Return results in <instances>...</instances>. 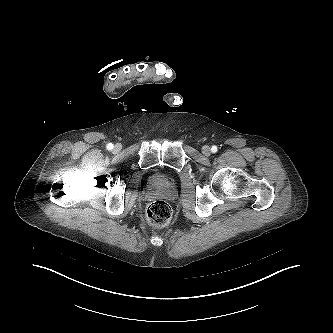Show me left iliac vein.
<instances>
[{
    "label": "left iliac vein",
    "mask_w": 333,
    "mask_h": 333,
    "mask_svg": "<svg viewBox=\"0 0 333 333\" xmlns=\"http://www.w3.org/2000/svg\"><path fill=\"white\" fill-rule=\"evenodd\" d=\"M202 153L205 155V156H210L211 155V149L209 146L205 145L202 147Z\"/></svg>",
    "instance_id": "left-iliac-vein-1"
}]
</instances>
